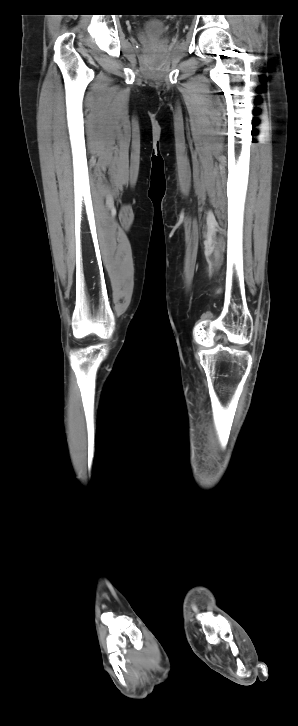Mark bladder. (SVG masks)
<instances>
[{
    "mask_svg": "<svg viewBox=\"0 0 298 726\" xmlns=\"http://www.w3.org/2000/svg\"><path fill=\"white\" fill-rule=\"evenodd\" d=\"M145 28L153 33L162 34L167 31V24L161 19L153 18L146 22Z\"/></svg>",
    "mask_w": 298,
    "mask_h": 726,
    "instance_id": "1",
    "label": "bladder"
}]
</instances>
